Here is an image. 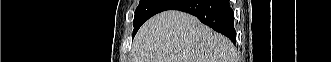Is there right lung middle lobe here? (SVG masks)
Listing matches in <instances>:
<instances>
[{"instance_id": "1", "label": "right lung middle lobe", "mask_w": 331, "mask_h": 62, "mask_svg": "<svg viewBox=\"0 0 331 62\" xmlns=\"http://www.w3.org/2000/svg\"><path fill=\"white\" fill-rule=\"evenodd\" d=\"M171 1L172 0H140L135 10L133 36L146 20L161 12Z\"/></svg>"}]
</instances>
